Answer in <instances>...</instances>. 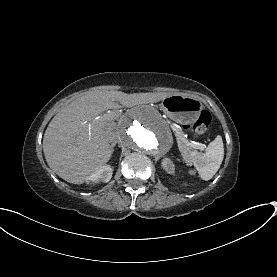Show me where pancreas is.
Returning <instances> with one entry per match:
<instances>
[{"instance_id":"obj_1","label":"pancreas","mask_w":277,"mask_h":277,"mask_svg":"<svg viewBox=\"0 0 277 277\" xmlns=\"http://www.w3.org/2000/svg\"><path fill=\"white\" fill-rule=\"evenodd\" d=\"M172 136L177 140V144L181 148V156L184 159H189L192 156V148L187 145L188 139L186 138V133L180 128H175L172 131Z\"/></svg>"}]
</instances>
